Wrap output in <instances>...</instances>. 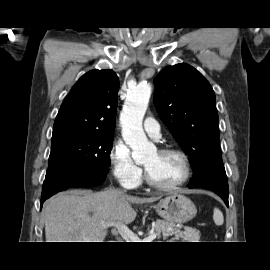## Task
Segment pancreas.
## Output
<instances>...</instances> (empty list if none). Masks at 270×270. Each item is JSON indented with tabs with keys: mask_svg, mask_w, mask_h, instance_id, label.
Returning <instances> with one entry per match:
<instances>
[{
	"mask_svg": "<svg viewBox=\"0 0 270 270\" xmlns=\"http://www.w3.org/2000/svg\"><path fill=\"white\" fill-rule=\"evenodd\" d=\"M152 226L153 232L157 234L159 238L161 237V233L165 238L167 234L175 232V236L172 240L182 239V242H199L200 239V231L191 227H185V231L181 232L179 229H173L172 227L174 225L172 223L160 219H157ZM148 235H150V231L148 232Z\"/></svg>",
	"mask_w": 270,
	"mask_h": 270,
	"instance_id": "pancreas-1",
	"label": "pancreas"
}]
</instances>
